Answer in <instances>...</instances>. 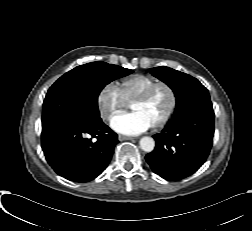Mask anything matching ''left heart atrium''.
I'll return each mask as SVG.
<instances>
[{
    "mask_svg": "<svg viewBox=\"0 0 252 231\" xmlns=\"http://www.w3.org/2000/svg\"><path fill=\"white\" fill-rule=\"evenodd\" d=\"M111 127L117 133L134 136L146 132L152 123L142 113L133 111L113 117Z\"/></svg>",
    "mask_w": 252,
    "mask_h": 231,
    "instance_id": "left-heart-atrium-1",
    "label": "left heart atrium"
}]
</instances>
